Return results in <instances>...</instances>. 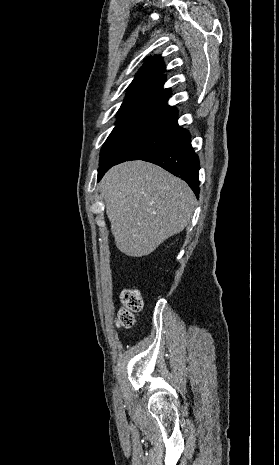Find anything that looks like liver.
I'll return each instance as SVG.
<instances>
[{
    "label": "liver",
    "instance_id": "liver-1",
    "mask_svg": "<svg viewBox=\"0 0 279 465\" xmlns=\"http://www.w3.org/2000/svg\"><path fill=\"white\" fill-rule=\"evenodd\" d=\"M118 249L132 257L152 253L189 223L195 204L190 187L145 161L112 167L100 182Z\"/></svg>",
    "mask_w": 279,
    "mask_h": 465
}]
</instances>
